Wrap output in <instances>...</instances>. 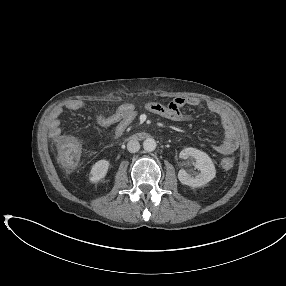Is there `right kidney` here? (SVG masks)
<instances>
[{
    "mask_svg": "<svg viewBox=\"0 0 286 286\" xmlns=\"http://www.w3.org/2000/svg\"><path fill=\"white\" fill-rule=\"evenodd\" d=\"M109 161L107 160H99L97 161L93 166L92 169L90 171V181L92 183H97L100 180H102L108 171L109 168Z\"/></svg>",
    "mask_w": 286,
    "mask_h": 286,
    "instance_id": "ca27d5eb",
    "label": "right kidney"
}]
</instances>
